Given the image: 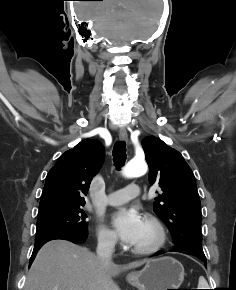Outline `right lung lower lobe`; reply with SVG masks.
I'll list each match as a JSON object with an SVG mask.
<instances>
[{
    "instance_id": "obj_1",
    "label": "right lung lower lobe",
    "mask_w": 236,
    "mask_h": 290,
    "mask_svg": "<svg viewBox=\"0 0 236 290\" xmlns=\"http://www.w3.org/2000/svg\"><path fill=\"white\" fill-rule=\"evenodd\" d=\"M86 236H87V233H76V234L58 233V234H53V235L44 237V238L39 239V240H35V245H34L33 253H32L31 258H30L29 266L32 264L38 250L46 242H48L50 240H54V239H63V240H68V241H71L73 243L78 244V243L84 242L87 238Z\"/></svg>"
}]
</instances>
